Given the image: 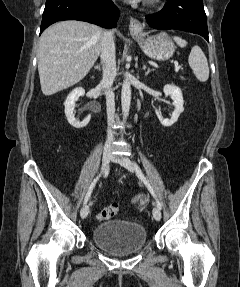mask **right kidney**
Returning a JSON list of instances; mask_svg holds the SVG:
<instances>
[{
  "label": "right kidney",
  "instance_id": "right-kidney-1",
  "mask_svg": "<svg viewBox=\"0 0 240 287\" xmlns=\"http://www.w3.org/2000/svg\"><path fill=\"white\" fill-rule=\"evenodd\" d=\"M84 94H85V90L82 87H77L67 96L64 102L65 115H66L67 121L71 126L77 129L87 126L91 119V115H88L84 120L79 121L75 119L74 114H73L76 101L79 99L80 96H83Z\"/></svg>",
  "mask_w": 240,
  "mask_h": 287
}]
</instances>
